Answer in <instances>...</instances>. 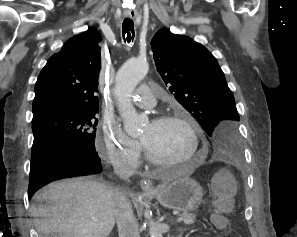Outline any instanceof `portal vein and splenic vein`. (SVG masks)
Returning a JSON list of instances; mask_svg holds the SVG:
<instances>
[{"label": "portal vein and splenic vein", "instance_id": "18ae733b", "mask_svg": "<svg viewBox=\"0 0 297 237\" xmlns=\"http://www.w3.org/2000/svg\"><path fill=\"white\" fill-rule=\"evenodd\" d=\"M92 220H93V221H97V219H95V218H92ZM181 221H183V218H182V217H179V218L177 219V222L179 223V222H181Z\"/></svg>", "mask_w": 297, "mask_h": 237}]
</instances>
